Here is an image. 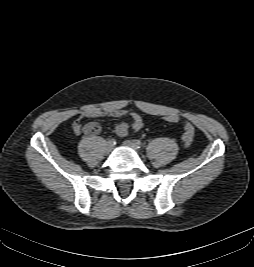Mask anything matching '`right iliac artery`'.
<instances>
[{
	"instance_id": "obj_1",
	"label": "right iliac artery",
	"mask_w": 254,
	"mask_h": 267,
	"mask_svg": "<svg viewBox=\"0 0 254 267\" xmlns=\"http://www.w3.org/2000/svg\"><path fill=\"white\" fill-rule=\"evenodd\" d=\"M108 144L110 145H115L116 144V140L114 138L110 139Z\"/></svg>"
}]
</instances>
